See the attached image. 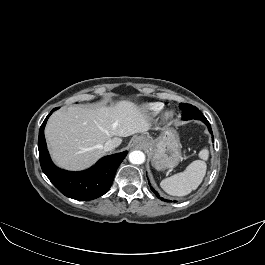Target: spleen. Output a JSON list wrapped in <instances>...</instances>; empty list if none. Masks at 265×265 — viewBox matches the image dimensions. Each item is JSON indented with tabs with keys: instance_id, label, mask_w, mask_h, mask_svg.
<instances>
[{
	"instance_id": "3e777b00",
	"label": "spleen",
	"mask_w": 265,
	"mask_h": 265,
	"mask_svg": "<svg viewBox=\"0 0 265 265\" xmlns=\"http://www.w3.org/2000/svg\"><path fill=\"white\" fill-rule=\"evenodd\" d=\"M199 157L202 160L193 161L184 172L163 179L160 183L162 189L172 196H185L195 190L206 174L205 160L209 157V151L206 148L202 149Z\"/></svg>"
}]
</instances>
